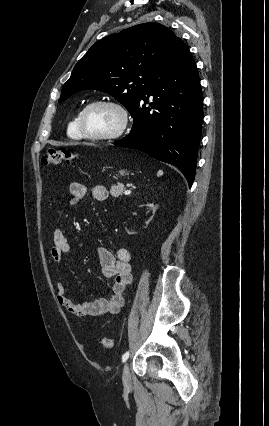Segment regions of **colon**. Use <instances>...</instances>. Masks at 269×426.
<instances>
[{
    "mask_svg": "<svg viewBox=\"0 0 269 426\" xmlns=\"http://www.w3.org/2000/svg\"><path fill=\"white\" fill-rule=\"evenodd\" d=\"M76 160V155L68 149L49 148L42 157V163L46 166H57L63 163H72ZM102 347L111 349L113 347V340L108 337H101L99 339Z\"/></svg>",
    "mask_w": 269,
    "mask_h": 426,
    "instance_id": "5ec220e1",
    "label": "colon"
}]
</instances>
